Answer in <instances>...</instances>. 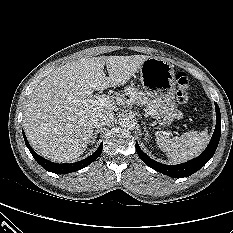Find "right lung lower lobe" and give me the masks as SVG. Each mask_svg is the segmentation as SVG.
I'll use <instances>...</instances> for the list:
<instances>
[{"instance_id": "1", "label": "right lung lower lobe", "mask_w": 233, "mask_h": 233, "mask_svg": "<svg viewBox=\"0 0 233 233\" xmlns=\"http://www.w3.org/2000/svg\"><path fill=\"white\" fill-rule=\"evenodd\" d=\"M23 137L25 140V144L28 147V149L31 152L34 159L45 170L52 172V173H55V174H67V173H71V172L78 171L80 169L85 168L86 166H88L89 164H91L93 161H95L98 158V156L101 154L102 148H103V143H101L100 146L98 147V149L92 155L87 157L86 159H83V160L75 162V163H70V164H57V163H53L51 161L44 159L43 157L39 156L36 152H34V150L29 145L28 140H27L24 132H23Z\"/></svg>"}]
</instances>
